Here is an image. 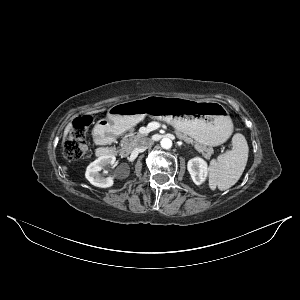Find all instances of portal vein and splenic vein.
<instances>
[{"mask_svg": "<svg viewBox=\"0 0 300 300\" xmlns=\"http://www.w3.org/2000/svg\"><path fill=\"white\" fill-rule=\"evenodd\" d=\"M158 127H159V126L153 125V123H150V124L148 125V127H147V130L150 132V131H152V130L157 129Z\"/></svg>", "mask_w": 300, "mask_h": 300, "instance_id": "obj_1", "label": "portal vein and splenic vein"}]
</instances>
